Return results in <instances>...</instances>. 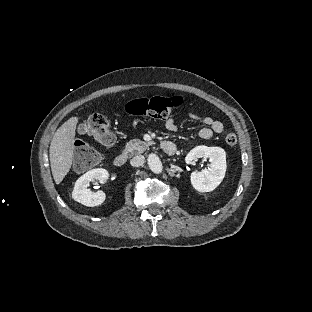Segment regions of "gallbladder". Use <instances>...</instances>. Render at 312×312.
Returning <instances> with one entry per match:
<instances>
[{"label": "gallbladder", "instance_id": "bac80fb5", "mask_svg": "<svg viewBox=\"0 0 312 312\" xmlns=\"http://www.w3.org/2000/svg\"><path fill=\"white\" fill-rule=\"evenodd\" d=\"M78 132L81 133V134L85 132V131H84V124H80V125H79V127H78Z\"/></svg>", "mask_w": 312, "mask_h": 312}]
</instances>
